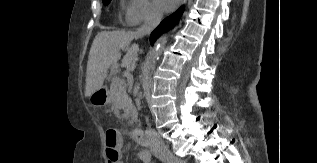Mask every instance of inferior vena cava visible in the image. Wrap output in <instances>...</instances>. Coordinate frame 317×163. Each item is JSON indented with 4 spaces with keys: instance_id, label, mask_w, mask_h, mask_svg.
<instances>
[{
    "instance_id": "inferior-vena-cava-1",
    "label": "inferior vena cava",
    "mask_w": 317,
    "mask_h": 163,
    "mask_svg": "<svg viewBox=\"0 0 317 163\" xmlns=\"http://www.w3.org/2000/svg\"><path fill=\"white\" fill-rule=\"evenodd\" d=\"M162 14L157 11H150L144 24L137 30V35L142 37L149 35L161 22ZM145 136L151 152L159 159H164L168 154V148L165 146L160 135L152 129L145 131Z\"/></svg>"
}]
</instances>
